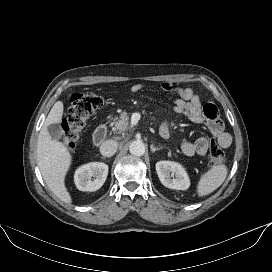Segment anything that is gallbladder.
<instances>
[{
    "mask_svg": "<svg viewBox=\"0 0 272 272\" xmlns=\"http://www.w3.org/2000/svg\"><path fill=\"white\" fill-rule=\"evenodd\" d=\"M48 132H49L51 138L54 140H59L64 134L62 128L58 124L49 125Z\"/></svg>",
    "mask_w": 272,
    "mask_h": 272,
    "instance_id": "1",
    "label": "gallbladder"
}]
</instances>
